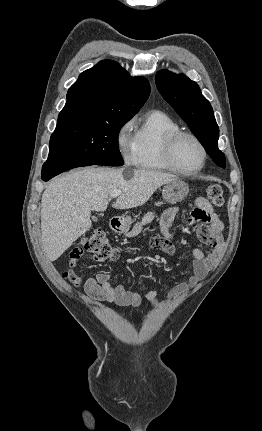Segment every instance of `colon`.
Here are the masks:
<instances>
[{"mask_svg": "<svg viewBox=\"0 0 262 431\" xmlns=\"http://www.w3.org/2000/svg\"><path fill=\"white\" fill-rule=\"evenodd\" d=\"M206 197L215 207H221L224 203L223 189L219 184L213 183L208 185L206 188ZM165 243V238L160 235L151 237V245L153 247H158ZM84 252L91 254L95 260H110L117 255V249L108 242L104 233L101 230L93 229L80 241L74 256H70L68 269L64 273V277L67 280L78 278L74 268L78 265L80 257Z\"/></svg>", "mask_w": 262, "mask_h": 431, "instance_id": "obj_1", "label": "colon"}]
</instances>
